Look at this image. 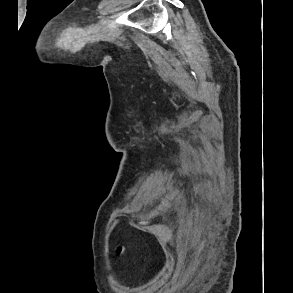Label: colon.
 Returning a JSON list of instances; mask_svg holds the SVG:
<instances>
[{"label": "colon", "instance_id": "colon-1", "mask_svg": "<svg viewBox=\"0 0 293 293\" xmlns=\"http://www.w3.org/2000/svg\"><path fill=\"white\" fill-rule=\"evenodd\" d=\"M124 251V248L123 247H118V252L119 253H122Z\"/></svg>", "mask_w": 293, "mask_h": 293}]
</instances>
